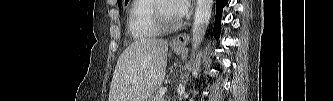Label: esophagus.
Masks as SVG:
<instances>
[{"label": "esophagus", "mask_w": 333, "mask_h": 101, "mask_svg": "<svg viewBox=\"0 0 333 101\" xmlns=\"http://www.w3.org/2000/svg\"><path fill=\"white\" fill-rule=\"evenodd\" d=\"M188 40L189 35L186 33H181L172 40V43L176 47H184L188 43Z\"/></svg>", "instance_id": "1"}]
</instances>
